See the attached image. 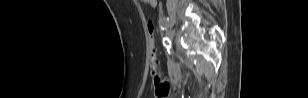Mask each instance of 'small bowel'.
<instances>
[{"label":"small bowel","mask_w":308,"mask_h":98,"mask_svg":"<svg viewBox=\"0 0 308 98\" xmlns=\"http://www.w3.org/2000/svg\"><path fill=\"white\" fill-rule=\"evenodd\" d=\"M140 3L146 9L153 8L156 6V0H140Z\"/></svg>","instance_id":"small-bowel-1"}]
</instances>
